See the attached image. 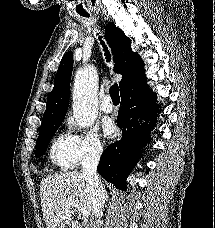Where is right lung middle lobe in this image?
<instances>
[{
    "label": "right lung middle lobe",
    "instance_id": "dd1d6c3e",
    "mask_svg": "<svg viewBox=\"0 0 215 228\" xmlns=\"http://www.w3.org/2000/svg\"><path fill=\"white\" fill-rule=\"evenodd\" d=\"M60 124L61 122H56L41 126L39 136L36 142V157L44 155L46 148L49 145V141L53 137Z\"/></svg>",
    "mask_w": 215,
    "mask_h": 228
}]
</instances>
